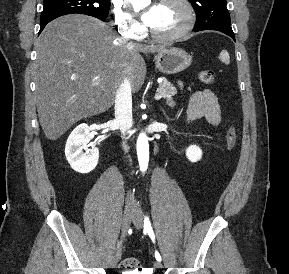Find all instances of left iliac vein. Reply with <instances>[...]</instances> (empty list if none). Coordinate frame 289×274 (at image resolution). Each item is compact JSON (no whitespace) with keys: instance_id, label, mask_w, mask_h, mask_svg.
<instances>
[{"instance_id":"obj_1","label":"left iliac vein","mask_w":289,"mask_h":274,"mask_svg":"<svg viewBox=\"0 0 289 274\" xmlns=\"http://www.w3.org/2000/svg\"><path fill=\"white\" fill-rule=\"evenodd\" d=\"M132 221H133L134 226L137 229H141L143 227L144 216H143V213H142V211H141V209L139 207H136L133 210ZM154 266L156 268H162L163 267L162 264L159 261H156L154 263Z\"/></svg>"}]
</instances>
